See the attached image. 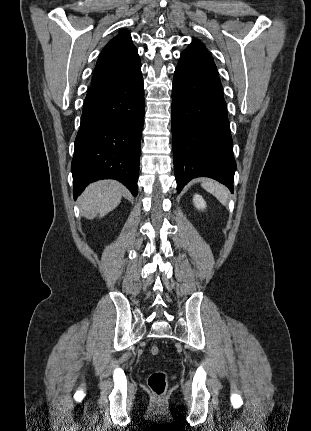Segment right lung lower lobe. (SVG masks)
Returning <instances> with one entry per match:
<instances>
[{
    "instance_id": "1",
    "label": "right lung lower lobe",
    "mask_w": 311,
    "mask_h": 431,
    "mask_svg": "<svg viewBox=\"0 0 311 431\" xmlns=\"http://www.w3.org/2000/svg\"><path fill=\"white\" fill-rule=\"evenodd\" d=\"M144 106L141 64L123 77L91 85L71 165L75 199L99 179H116L137 195Z\"/></svg>"
}]
</instances>
